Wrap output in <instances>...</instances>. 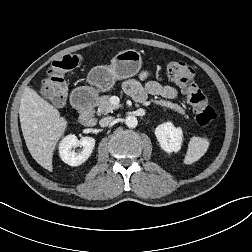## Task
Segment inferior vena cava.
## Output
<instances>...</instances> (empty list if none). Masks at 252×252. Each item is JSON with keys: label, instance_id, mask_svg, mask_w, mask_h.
I'll list each match as a JSON object with an SVG mask.
<instances>
[{"label": "inferior vena cava", "instance_id": "inferior-vena-cava-1", "mask_svg": "<svg viewBox=\"0 0 252 252\" xmlns=\"http://www.w3.org/2000/svg\"><path fill=\"white\" fill-rule=\"evenodd\" d=\"M113 121H114V117L107 116V117L102 118L99 121V124L101 127H106V126H109Z\"/></svg>", "mask_w": 252, "mask_h": 252}]
</instances>
